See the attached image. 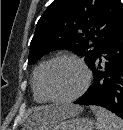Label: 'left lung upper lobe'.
<instances>
[{
    "mask_svg": "<svg viewBox=\"0 0 123 130\" xmlns=\"http://www.w3.org/2000/svg\"><path fill=\"white\" fill-rule=\"evenodd\" d=\"M122 20L120 0H54L37 23L28 64L51 50L67 49L91 65Z\"/></svg>",
    "mask_w": 123,
    "mask_h": 130,
    "instance_id": "5c2ea615",
    "label": "left lung upper lobe"
}]
</instances>
